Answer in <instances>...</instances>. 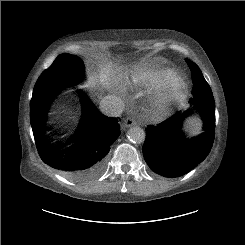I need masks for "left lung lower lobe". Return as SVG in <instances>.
Masks as SVG:
<instances>
[{
  "instance_id": "obj_1",
  "label": "left lung lower lobe",
  "mask_w": 245,
  "mask_h": 245,
  "mask_svg": "<svg viewBox=\"0 0 245 245\" xmlns=\"http://www.w3.org/2000/svg\"><path fill=\"white\" fill-rule=\"evenodd\" d=\"M204 121V132L199 138H187L182 132V121L189 110L178 111L157 126H147L143 147L144 158L150 169L163 177H179L196 167L209 154L215 134V102L192 101Z\"/></svg>"
}]
</instances>
